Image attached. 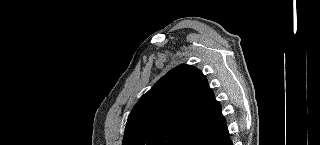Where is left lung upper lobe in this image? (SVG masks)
Listing matches in <instances>:
<instances>
[{
	"mask_svg": "<svg viewBox=\"0 0 320 145\" xmlns=\"http://www.w3.org/2000/svg\"><path fill=\"white\" fill-rule=\"evenodd\" d=\"M216 105L202 72L186 64L169 71L131 111L123 145H178Z\"/></svg>",
	"mask_w": 320,
	"mask_h": 145,
	"instance_id": "1",
	"label": "left lung upper lobe"
}]
</instances>
